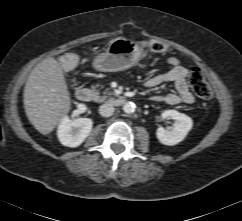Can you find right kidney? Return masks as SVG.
<instances>
[{
    "instance_id": "1",
    "label": "right kidney",
    "mask_w": 242,
    "mask_h": 221,
    "mask_svg": "<svg viewBox=\"0 0 242 221\" xmlns=\"http://www.w3.org/2000/svg\"><path fill=\"white\" fill-rule=\"evenodd\" d=\"M93 122L89 118L70 120L64 116L58 126L57 136L62 145L78 147L89 136Z\"/></svg>"
}]
</instances>
